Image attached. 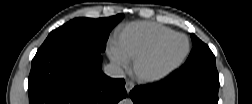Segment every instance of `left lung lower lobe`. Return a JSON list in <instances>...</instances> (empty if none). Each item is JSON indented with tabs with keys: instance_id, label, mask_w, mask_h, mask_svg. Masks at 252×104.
Listing matches in <instances>:
<instances>
[{
	"instance_id": "1",
	"label": "left lung lower lobe",
	"mask_w": 252,
	"mask_h": 104,
	"mask_svg": "<svg viewBox=\"0 0 252 104\" xmlns=\"http://www.w3.org/2000/svg\"><path fill=\"white\" fill-rule=\"evenodd\" d=\"M219 85L216 66L181 67L156 84L136 86L130 98L134 104H217Z\"/></svg>"
}]
</instances>
